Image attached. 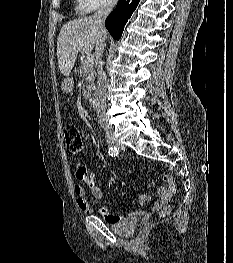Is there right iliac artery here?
<instances>
[{
  "instance_id": "right-iliac-artery-1",
  "label": "right iliac artery",
  "mask_w": 233,
  "mask_h": 263,
  "mask_svg": "<svg viewBox=\"0 0 233 263\" xmlns=\"http://www.w3.org/2000/svg\"><path fill=\"white\" fill-rule=\"evenodd\" d=\"M108 153L111 156H117L118 155V149L116 147H110L108 150Z\"/></svg>"
}]
</instances>
